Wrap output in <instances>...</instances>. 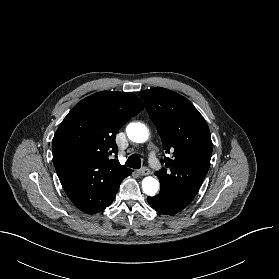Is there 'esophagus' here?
Wrapping results in <instances>:
<instances>
[{
    "label": "esophagus",
    "mask_w": 279,
    "mask_h": 279,
    "mask_svg": "<svg viewBox=\"0 0 279 279\" xmlns=\"http://www.w3.org/2000/svg\"><path fill=\"white\" fill-rule=\"evenodd\" d=\"M150 173H151V171L148 167H143L140 171V174L143 176L149 175Z\"/></svg>",
    "instance_id": "esophagus-1"
}]
</instances>
